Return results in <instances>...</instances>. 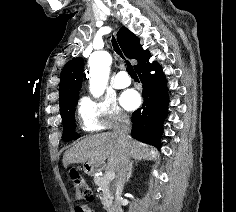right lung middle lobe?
<instances>
[{
  "mask_svg": "<svg viewBox=\"0 0 236 212\" xmlns=\"http://www.w3.org/2000/svg\"><path fill=\"white\" fill-rule=\"evenodd\" d=\"M78 98L68 101L66 106L60 110L63 122V136L64 141L75 140L80 137L75 133V106Z\"/></svg>",
  "mask_w": 236,
  "mask_h": 212,
  "instance_id": "dd1d6c3e",
  "label": "right lung middle lobe"
}]
</instances>
